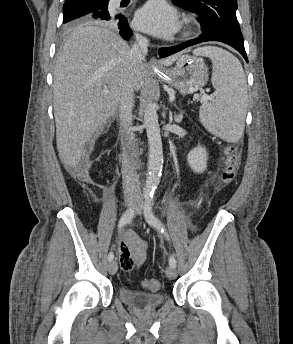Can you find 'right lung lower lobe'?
<instances>
[{
	"label": "right lung lower lobe",
	"mask_w": 293,
	"mask_h": 344,
	"mask_svg": "<svg viewBox=\"0 0 293 344\" xmlns=\"http://www.w3.org/2000/svg\"><path fill=\"white\" fill-rule=\"evenodd\" d=\"M109 1V0H108ZM108 3V2H107ZM87 17L90 20H107L110 24L117 26L120 30L119 34L126 40L132 36V30L128 26V21L123 15L110 16L109 11L104 8H98L97 10L89 13Z\"/></svg>",
	"instance_id": "98d812e1"
}]
</instances>
